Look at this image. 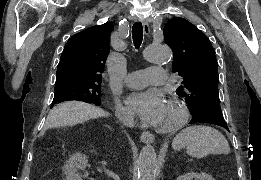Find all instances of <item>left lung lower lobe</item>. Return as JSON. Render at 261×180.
<instances>
[{"mask_svg":"<svg viewBox=\"0 0 261 180\" xmlns=\"http://www.w3.org/2000/svg\"><path fill=\"white\" fill-rule=\"evenodd\" d=\"M194 123H209V124H216V125H219V126H222L224 128H226L228 130V127L226 125V122L225 121H217L213 118H204L202 120H195V119H192L190 124H194Z\"/></svg>","mask_w":261,"mask_h":180,"instance_id":"1","label":"left lung lower lobe"}]
</instances>
